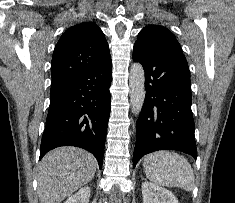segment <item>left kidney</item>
<instances>
[{
  "label": "left kidney",
  "instance_id": "obj_1",
  "mask_svg": "<svg viewBox=\"0 0 235 203\" xmlns=\"http://www.w3.org/2000/svg\"><path fill=\"white\" fill-rule=\"evenodd\" d=\"M143 203H179L175 195L151 182L142 183Z\"/></svg>",
  "mask_w": 235,
  "mask_h": 203
}]
</instances>
